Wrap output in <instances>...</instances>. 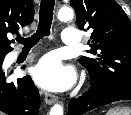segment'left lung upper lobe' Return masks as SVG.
<instances>
[{"instance_id": "obj_1", "label": "left lung upper lobe", "mask_w": 131, "mask_h": 115, "mask_svg": "<svg viewBox=\"0 0 131 115\" xmlns=\"http://www.w3.org/2000/svg\"><path fill=\"white\" fill-rule=\"evenodd\" d=\"M80 29H93L88 50L98 58L81 57L91 82L103 87L131 88V22L114 0H71Z\"/></svg>"}]
</instances>
